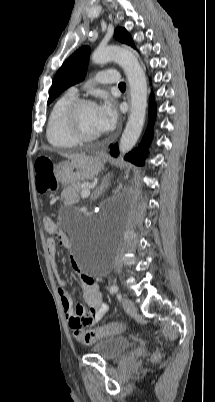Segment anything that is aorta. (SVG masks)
Listing matches in <instances>:
<instances>
[{"instance_id":"1","label":"aorta","mask_w":215,"mask_h":402,"mask_svg":"<svg viewBox=\"0 0 215 402\" xmlns=\"http://www.w3.org/2000/svg\"><path fill=\"white\" fill-rule=\"evenodd\" d=\"M92 61L96 64L114 61L123 68L127 76L130 86L131 108L128 122L119 143V151L127 153L136 144L145 121L147 82L144 70L132 52L117 46L95 50L92 54Z\"/></svg>"}]
</instances>
